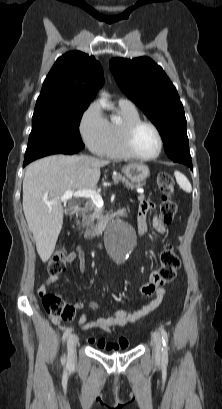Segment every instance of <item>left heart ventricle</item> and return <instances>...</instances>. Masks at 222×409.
Segmentation results:
<instances>
[{
	"mask_svg": "<svg viewBox=\"0 0 222 409\" xmlns=\"http://www.w3.org/2000/svg\"><path fill=\"white\" fill-rule=\"evenodd\" d=\"M158 137L149 126L143 125L137 129L133 137L135 151L142 156H150L158 150Z\"/></svg>",
	"mask_w": 222,
	"mask_h": 409,
	"instance_id": "b2bd125f",
	"label": "left heart ventricle"
}]
</instances>
